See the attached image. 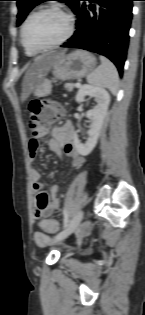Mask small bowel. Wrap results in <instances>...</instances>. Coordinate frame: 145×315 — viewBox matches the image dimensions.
Masks as SVG:
<instances>
[{
  "mask_svg": "<svg viewBox=\"0 0 145 315\" xmlns=\"http://www.w3.org/2000/svg\"><path fill=\"white\" fill-rule=\"evenodd\" d=\"M57 106L55 104H51ZM51 139L49 141L50 149L59 156H67L71 165L76 168L84 166V157L80 154L74 144L73 126L70 122L60 127H55L51 131ZM47 134V129L41 127L35 131L34 137H28L27 147L31 158L36 156L37 147L41 146L39 137ZM32 189L36 195V207L34 208V217L43 219L51 216L61 206V200L58 197L59 186L52 185L49 193L42 191V183L40 182V173L36 169L31 170ZM34 240L40 246H46L50 243V237L42 231L34 233Z\"/></svg>",
  "mask_w": 145,
  "mask_h": 315,
  "instance_id": "small-bowel-1",
  "label": "small bowel"
}]
</instances>
